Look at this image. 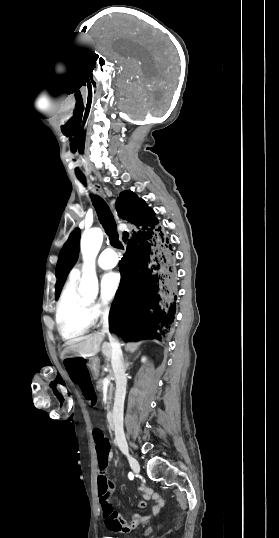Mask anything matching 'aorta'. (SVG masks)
Segmentation results:
<instances>
[{
  "label": "aorta",
  "mask_w": 279,
  "mask_h": 538,
  "mask_svg": "<svg viewBox=\"0 0 279 538\" xmlns=\"http://www.w3.org/2000/svg\"><path fill=\"white\" fill-rule=\"evenodd\" d=\"M102 241L103 233L100 228L86 230L81 237L80 248L84 264L79 292L84 298L94 299L98 294L95 259L101 248Z\"/></svg>",
  "instance_id": "obj_1"
}]
</instances>
